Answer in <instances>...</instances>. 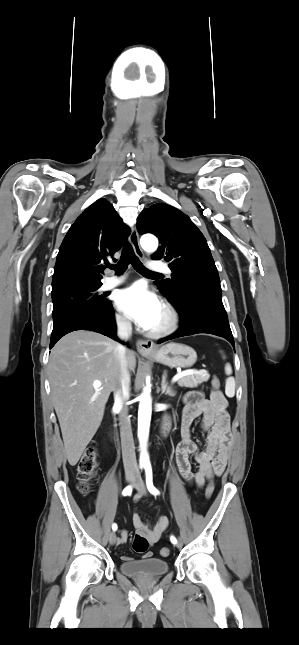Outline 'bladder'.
Instances as JSON below:
<instances>
[{"instance_id": "31cf9c89", "label": "bladder", "mask_w": 299, "mask_h": 645, "mask_svg": "<svg viewBox=\"0 0 299 645\" xmlns=\"http://www.w3.org/2000/svg\"><path fill=\"white\" fill-rule=\"evenodd\" d=\"M120 572L132 578H153L168 573L169 563L161 558L149 557L138 560H127L119 565Z\"/></svg>"}]
</instances>
